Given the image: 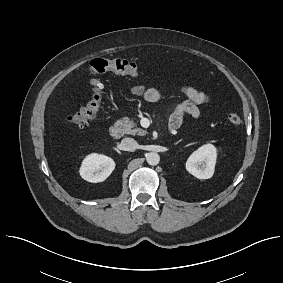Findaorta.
<instances>
[{"instance_id": "aorta-1", "label": "aorta", "mask_w": 283, "mask_h": 283, "mask_svg": "<svg viewBox=\"0 0 283 283\" xmlns=\"http://www.w3.org/2000/svg\"><path fill=\"white\" fill-rule=\"evenodd\" d=\"M146 161L149 165L155 166L160 161V156L156 152H150L146 155Z\"/></svg>"}]
</instances>
